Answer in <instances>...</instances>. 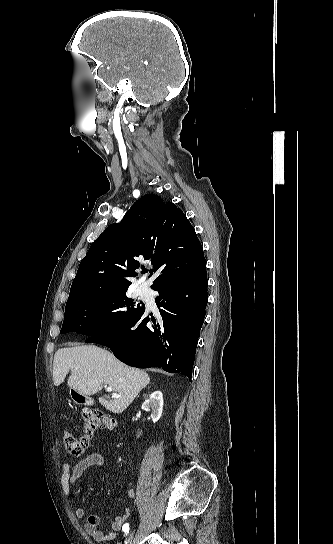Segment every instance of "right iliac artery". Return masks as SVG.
<instances>
[{"label": "right iliac artery", "mask_w": 333, "mask_h": 544, "mask_svg": "<svg viewBox=\"0 0 333 544\" xmlns=\"http://www.w3.org/2000/svg\"><path fill=\"white\" fill-rule=\"evenodd\" d=\"M123 532L127 535L129 533V524L126 523L123 525Z\"/></svg>", "instance_id": "right-iliac-artery-1"}]
</instances>
